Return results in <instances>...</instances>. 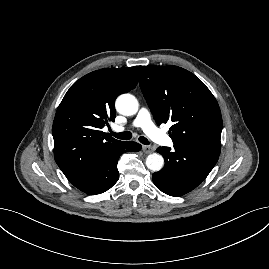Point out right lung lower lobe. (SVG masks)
I'll list each match as a JSON object with an SVG mask.
<instances>
[{
    "label": "right lung lower lobe",
    "mask_w": 269,
    "mask_h": 269,
    "mask_svg": "<svg viewBox=\"0 0 269 269\" xmlns=\"http://www.w3.org/2000/svg\"><path fill=\"white\" fill-rule=\"evenodd\" d=\"M141 145L127 141L122 142L106 154L96 158L82 170L67 177L71 184L89 195L103 193L110 189L118 180L117 163L120 155L128 151H139Z\"/></svg>",
    "instance_id": "right-lung-lower-lobe-1"
}]
</instances>
